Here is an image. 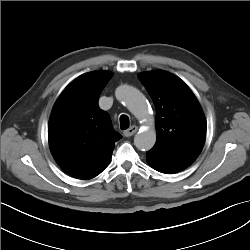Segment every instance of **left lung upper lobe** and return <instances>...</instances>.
Listing matches in <instances>:
<instances>
[{"mask_svg":"<svg viewBox=\"0 0 250 250\" xmlns=\"http://www.w3.org/2000/svg\"><path fill=\"white\" fill-rule=\"evenodd\" d=\"M156 107L154 152L197 158L206 139L203 111L190 88L166 71L139 74Z\"/></svg>","mask_w":250,"mask_h":250,"instance_id":"1","label":"left lung upper lobe"}]
</instances>
